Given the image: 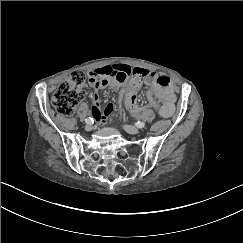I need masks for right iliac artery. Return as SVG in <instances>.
I'll list each match as a JSON object with an SVG mask.
<instances>
[{
	"instance_id": "obj_1",
	"label": "right iliac artery",
	"mask_w": 243,
	"mask_h": 243,
	"mask_svg": "<svg viewBox=\"0 0 243 243\" xmlns=\"http://www.w3.org/2000/svg\"><path fill=\"white\" fill-rule=\"evenodd\" d=\"M87 124H91L93 122V118L89 117L85 120Z\"/></svg>"
}]
</instances>
